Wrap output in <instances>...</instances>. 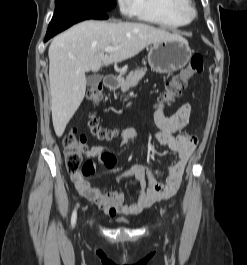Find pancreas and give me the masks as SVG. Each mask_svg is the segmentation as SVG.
<instances>
[{"label": "pancreas", "mask_w": 247, "mask_h": 265, "mask_svg": "<svg viewBox=\"0 0 247 265\" xmlns=\"http://www.w3.org/2000/svg\"><path fill=\"white\" fill-rule=\"evenodd\" d=\"M146 71H147L146 67L137 69L133 72H130L126 78L123 77V74H120L118 80L121 91L122 92L128 91L130 87H132L133 85L138 83L139 80L142 79Z\"/></svg>", "instance_id": "1"}]
</instances>
